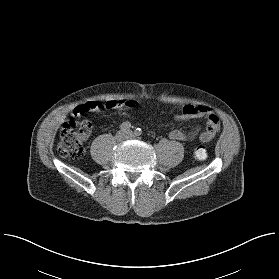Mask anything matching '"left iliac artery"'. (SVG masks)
Listing matches in <instances>:
<instances>
[{
    "label": "left iliac artery",
    "mask_w": 279,
    "mask_h": 279,
    "mask_svg": "<svg viewBox=\"0 0 279 279\" xmlns=\"http://www.w3.org/2000/svg\"><path fill=\"white\" fill-rule=\"evenodd\" d=\"M134 134L136 136H140L142 134V129L141 128H137L135 131H134Z\"/></svg>",
    "instance_id": "obj_1"
}]
</instances>
